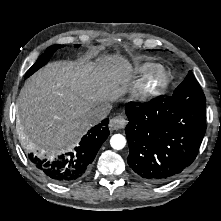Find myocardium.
Here are the masks:
<instances>
[{
	"instance_id": "1",
	"label": "myocardium",
	"mask_w": 221,
	"mask_h": 221,
	"mask_svg": "<svg viewBox=\"0 0 221 221\" xmlns=\"http://www.w3.org/2000/svg\"><path fill=\"white\" fill-rule=\"evenodd\" d=\"M169 81V73L159 66H154L140 80L137 95L140 98L155 96L168 86Z\"/></svg>"
}]
</instances>
